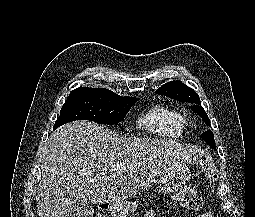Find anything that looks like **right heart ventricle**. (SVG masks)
Masks as SVG:
<instances>
[{
	"label": "right heart ventricle",
	"mask_w": 255,
	"mask_h": 217,
	"mask_svg": "<svg viewBox=\"0 0 255 217\" xmlns=\"http://www.w3.org/2000/svg\"><path fill=\"white\" fill-rule=\"evenodd\" d=\"M142 130L162 138H176L183 134L185 121L174 109L165 105L151 107L137 122Z\"/></svg>",
	"instance_id": "right-heart-ventricle-1"
}]
</instances>
